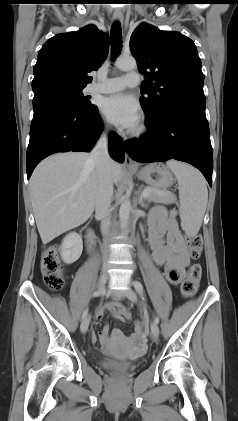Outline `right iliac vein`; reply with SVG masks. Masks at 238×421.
Returning a JSON list of instances; mask_svg holds the SVG:
<instances>
[{
    "label": "right iliac vein",
    "instance_id": "63e3f726",
    "mask_svg": "<svg viewBox=\"0 0 238 421\" xmlns=\"http://www.w3.org/2000/svg\"><path fill=\"white\" fill-rule=\"evenodd\" d=\"M107 279H108L107 271H106V269H103V271L101 272L100 278H99V282H98V289L99 290L104 288ZM89 323H90V316H87L82 320L80 328H81V331L83 333H85L88 330Z\"/></svg>",
    "mask_w": 238,
    "mask_h": 421
}]
</instances>
